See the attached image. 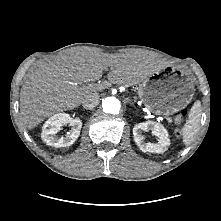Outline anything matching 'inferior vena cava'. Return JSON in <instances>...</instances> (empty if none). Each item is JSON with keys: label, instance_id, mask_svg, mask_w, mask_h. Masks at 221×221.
<instances>
[{"label": "inferior vena cava", "instance_id": "obj_1", "mask_svg": "<svg viewBox=\"0 0 221 221\" xmlns=\"http://www.w3.org/2000/svg\"><path fill=\"white\" fill-rule=\"evenodd\" d=\"M99 103V95L98 94H92L87 96L83 102L82 105L87 110L94 109Z\"/></svg>", "mask_w": 221, "mask_h": 221}]
</instances>
